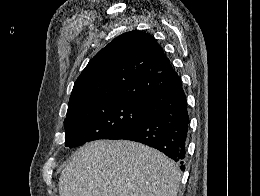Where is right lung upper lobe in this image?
<instances>
[{
    "label": "right lung upper lobe",
    "instance_id": "cb5924a9",
    "mask_svg": "<svg viewBox=\"0 0 260 196\" xmlns=\"http://www.w3.org/2000/svg\"><path fill=\"white\" fill-rule=\"evenodd\" d=\"M179 79L156 40L134 30L116 37L90 60L74 84L69 106L110 96L140 102Z\"/></svg>",
    "mask_w": 260,
    "mask_h": 196
}]
</instances>
